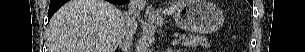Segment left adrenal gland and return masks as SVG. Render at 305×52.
<instances>
[{
	"mask_svg": "<svg viewBox=\"0 0 305 52\" xmlns=\"http://www.w3.org/2000/svg\"><path fill=\"white\" fill-rule=\"evenodd\" d=\"M166 51L167 52H172V48H168Z\"/></svg>",
	"mask_w": 305,
	"mask_h": 52,
	"instance_id": "1",
	"label": "left adrenal gland"
}]
</instances>
